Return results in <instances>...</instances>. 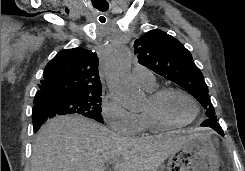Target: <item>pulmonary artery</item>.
I'll return each mask as SVG.
<instances>
[{"mask_svg":"<svg viewBox=\"0 0 245 171\" xmlns=\"http://www.w3.org/2000/svg\"><path fill=\"white\" fill-rule=\"evenodd\" d=\"M132 77L142 87L151 88L156 85L153 72L144 66H135L132 70Z\"/></svg>","mask_w":245,"mask_h":171,"instance_id":"obj_1","label":"pulmonary artery"}]
</instances>
